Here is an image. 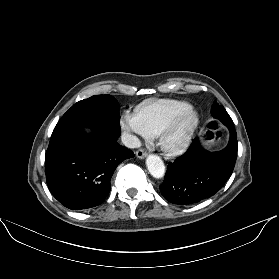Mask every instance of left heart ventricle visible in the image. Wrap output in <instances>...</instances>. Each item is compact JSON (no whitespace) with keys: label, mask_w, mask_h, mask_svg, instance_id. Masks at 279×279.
Listing matches in <instances>:
<instances>
[{"label":"left heart ventricle","mask_w":279,"mask_h":279,"mask_svg":"<svg viewBox=\"0 0 279 279\" xmlns=\"http://www.w3.org/2000/svg\"><path fill=\"white\" fill-rule=\"evenodd\" d=\"M190 123H191V117L185 118L178 125V127L176 128V130L174 131V133L170 137V142L171 143H176L177 141H179Z\"/></svg>","instance_id":"left-heart-ventricle-1"}]
</instances>
